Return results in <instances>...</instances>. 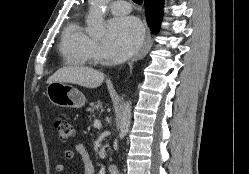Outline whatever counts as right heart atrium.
I'll list each match as a JSON object with an SVG mask.
<instances>
[{
    "label": "right heart atrium",
    "instance_id": "right-heart-atrium-1",
    "mask_svg": "<svg viewBox=\"0 0 249 174\" xmlns=\"http://www.w3.org/2000/svg\"><path fill=\"white\" fill-rule=\"evenodd\" d=\"M98 45L96 44V42L92 41L90 42L89 45V52L91 57L96 58L98 56Z\"/></svg>",
    "mask_w": 249,
    "mask_h": 174
}]
</instances>
